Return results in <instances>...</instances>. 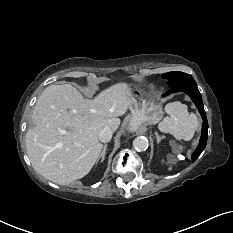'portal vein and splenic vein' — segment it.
I'll return each instance as SVG.
<instances>
[{"instance_id":"1","label":"portal vein and splenic vein","mask_w":233,"mask_h":233,"mask_svg":"<svg viewBox=\"0 0 233 233\" xmlns=\"http://www.w3.org/2000/svg\"><path fill=\"white\" fill-rule=\"evenodd\" d=\"M59 132H60V134H62V135H64V134L67 133V131H65V130H63V129H60Z\"/></svg>"}]
</instances>
